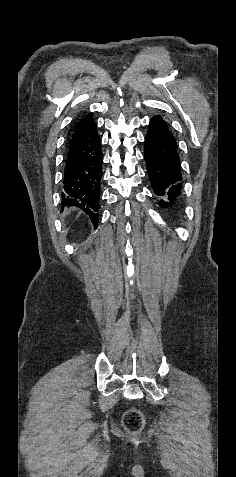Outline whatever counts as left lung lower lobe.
Returning a JSON list of instances; mask_svg holds the SVG:
<instances>
[{"mask_svg":"<svg viewBox=\"0 0 236 477\" xmlns=\"http://www.w3.org/2000/svg\"><path fill=\"white\" fill-rule=\"evenodd\" d=\"M145 161L154 193L164 209L178 206L182 188L177 142L161 116H154L145 137Z\"/></svg>","mask_w":236,"mask_h":477,"instance_id":"left-lung-lower-lobe-1","label":"left lung lower lobe"}]
</instances>
